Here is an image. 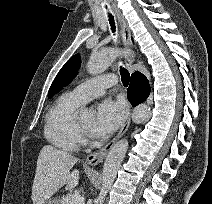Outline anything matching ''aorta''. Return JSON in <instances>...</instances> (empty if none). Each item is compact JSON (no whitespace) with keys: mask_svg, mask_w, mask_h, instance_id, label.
Returning <instances> with one entry per match:
<instances>
[{"mask_svg":"<svg viewBox=\"0 0 212 204\" xmlns=\"http://www.w3.org/2000/svg\"><path fill=\"white\" fill-rule=\"evenodd\" d=\"M123 54V51L116 48H103L100 51L93 53L87 63V71L91 75H97L105 71L111 63L119 56ZM83 115H90L91 111L88 109H82ZM150 107L145 104L137 106L132 113V120L135 123H142L150 117ZM128 149L127 139H121L118 141L109 151L102 172V187L100 193L96 199L98 204H103L105 197L111 188L117 171L125 157Z\"/></svg>","mask_w":212,"mask_h":204,"instance_id":"762f6f07","label":"aorta"}]
</instances>
